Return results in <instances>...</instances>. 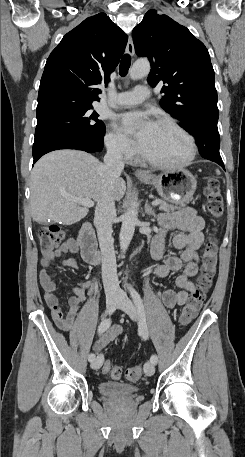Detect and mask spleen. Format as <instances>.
<instances>
[{
  "mask_svg": "<svg viewBox=\"0 0 245 457\" xmlns=\"http://www.w3.org/2000/svg\"><path fill=\"white\" fill-rule=\"evenodd\" d=\"M216 172H217V174H220V170H218V168H217Z\"/></svg>",
  "mask_w": 245,
  "mask_h": 457,
  "instance_id": "obj_1",
  "label": "spleen"
}]
</instances>
